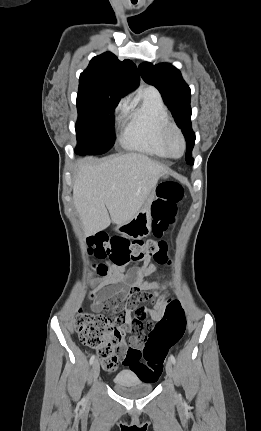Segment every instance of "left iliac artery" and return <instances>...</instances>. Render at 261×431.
<instances>
[{"label":"left iliac artery","instance_id":"1","mask_svg":"<svg viewBox=\"0 0 261 431\" xmlns=\"http://www.w3.org/2000/svg\"><path fill=\"white\" fill-rule=\"evenodd\" d=\"M169 359L173 364L176 363L175 357L172 354L170 355Z\"/></svg>","mask_w":261,"mask_h":431}]
</instances>
